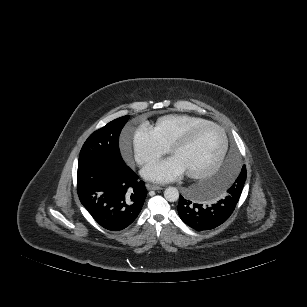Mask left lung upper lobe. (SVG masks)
Here are the masks:
<instances>
[{
  "label": "left lung upper lobe",
  "mask_w": 307,
  "mask_h": 307,
  "mask_svg": "<svg viewBox=\"0 0 307 307\" xmlns=\"http://www.w3.org/2000/svg\"><path fill=\"white\" fill-rule=\"evenodd\" d=\"M246 176V167L243 166L239 176L237 177L233 185L227 190V192L240 197L246 180Z\"/></svg>",
  "instance_id": "left-lung-upper-lobe-1"
}]
</instances>
